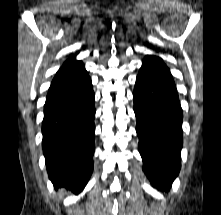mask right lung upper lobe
<instances>
[{
  "instance_id": "1",
  "label": "right lung upper lobe",
  "mask_w": 221,
  "mask_h": 215,
  "mask_svg": "<svg viewBox=\"0 0 221 215\" xmlns=\"http://www.w3.org/2000/svg\"><path fill=\"white\" fill-rule=\"evenodd\" d=\"M84 71L85 68L82 61H77L75 60V56H71L58 70L54 79L52 80L51 86L69 80Z\"/></svg>"
}]
</instances>
